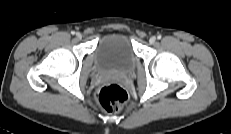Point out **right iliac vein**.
I'll return each instance as SVG.
<instances>
[{
	"label": "right iliac vein",
	"instance_id": "obj_1",
	"mask_svg": "<svg viewBox=\"0 0 231 134\" xmlns=\"http://www.w3.org/2000/svg\"><path fill=\"white\" fill-rule=\"evenodd\" d=\"M76 37H77V39L80 40L82 38V34L78 32V33H76Z\"/></svg>",
	"mask_w": 231,
	"mask_h": 134
}]
</instances>
